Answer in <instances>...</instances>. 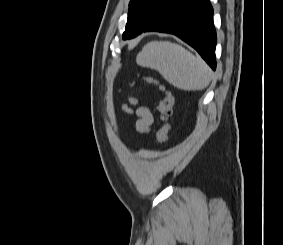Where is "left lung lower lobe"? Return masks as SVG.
<instances>
[{
	"instance_id": "0a47b994",
	"label": "left lung lower lobe",
	"mask_w": 283,
	"mask_h": 245,
	"mask_svg": "<svg viewBox=\"0 0 283 245\" xmlns=\"http://www.w3.org/2000/svg\"><path fill=\"white\" fill-rule=\"evenodd\" d=\"M146 31L178 36L196 49L213 70L216 69V31L213 8L209 0H173L168 8L143 30Z\"/></svg>"
}]
</instances>
